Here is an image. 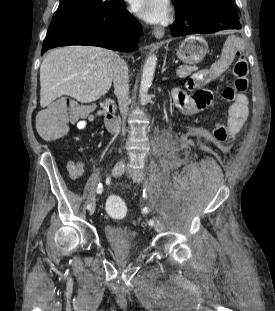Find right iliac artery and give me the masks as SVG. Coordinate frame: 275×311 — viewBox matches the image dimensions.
Instances as JSON below:
<instances>
[{
    "label": "right iliac artery",
    "mask_w": 275,
    "mask_h": 311,
    "mask_svg": "<svg viewBox=\"0 0 275 311\" xmlns=\"http://www.w3.org/2000/svg\"><path fill=\"white\" fill-rule=\"evenodd\" d=\"M107 182L109 183V179H107ZM96 192L98 194H101L103 192V185L102 183H99L98 186H97V189H96ZM87 209L90 210L91 209V204H88L87 205Z\"/></svg>",
    "instance_id": "right-iliac-artery-1"
}]
</instances>
